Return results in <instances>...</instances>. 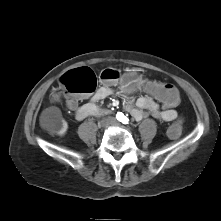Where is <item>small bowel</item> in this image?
<instances>
[{
  "mask_svg": "<svg viewBox=\"0 0 221 221\" xmlns=\"http://www.w3.org/2000/svg\"><path fill=\"white\" fill-rule=\"evenodd\" d=\"M112 93L113 89L109 85H102L90 96L88 102L79 105L78 99L75 98L67 100V106L74 112L77 120H83L89 116H99L103 110L97 103ZM120 93L125 102V109L136 120L151 116L165 122H172L178 117L176 107L166 108L159 101L152 100L146 95L135 98L127 89H123Z\"/></svg>",
  "mask_w": 221,
  "mask_h": 221,
  "instance_id": "small-bowel-1",
  "label": "small bowel"
}]
</instances>
